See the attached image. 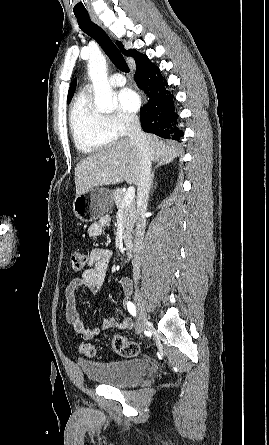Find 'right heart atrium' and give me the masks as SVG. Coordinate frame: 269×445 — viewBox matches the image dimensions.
Listing matches in <instances>:
<instances>
[{"instance_id": "1", "label": "right heart atrium", "mask_w": 269, "mask_h": 445, "mask_svg": "<svg viewBox=\"0 0 269 445\" xmlns=\"http://www.w3.org/2000/svg\"><path fill=\"white\" fill-rule=\"evenodd\" d=\"M106 120L116 137L126 135L137 123L134 115L120 111L107 115Z\"/></svg>"}]
</instances>
